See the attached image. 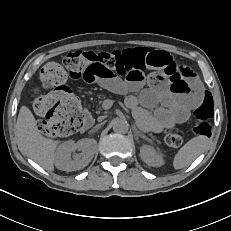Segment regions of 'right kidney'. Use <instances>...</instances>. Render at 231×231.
<instances>
[{"instance_id": "1", "label": "right kidney", "mask_w": 231, "mask_h": 231, "mask_svg": "<svg viewBox=\"0 0 231 231\" xmlns=\"http://www.w3.org/2000/svg\"><path fill=\"white\" fill-rule=\"evenodd\" d=\"M97 142L94 139L72 140L61 144L56 152L55 165L59 170L76 171L84 168L92 160ZM76 150L82 151L75 153Z\"/></svg>"}]
</instances>
